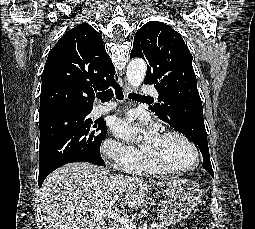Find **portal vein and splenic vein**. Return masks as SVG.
<instances>
[{
  "instance_id": "1",
  "label": "portal vein and splenic vein",
  "mask_w": 255,
  "mask_h": 229,
  "mask_svg": "<svg viewBox=\"0 0 255 229\" xmlns=\"http://www.w3.org/2000/svg\"><path fill=\"white\" fill-rule=\"evenodd\" d=\"M95 213L98 216H107V217L115 220L116 222H119L120 224L125 226L127 229H136V225L133 224V222L131 220H129L127 217L121 216L117 212L113 211L111 206L107 210H97V211H95ZM157 226H158L157 223H154L151 225L152 228H156Z\"/></svg>"
}]
</instances>
